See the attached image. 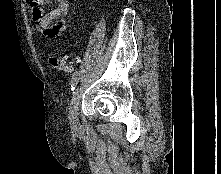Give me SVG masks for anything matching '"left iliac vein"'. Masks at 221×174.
Instances as JSON below:
<instances>
[{
    "instance_id": "obj_1",
    "label": "left iliac vein",
    "mask_w": 221,
    "mask_h": 174,
    "mask_svg": "<svg viewBox=\"0 0 221 174\" xmlns=\"http://www.w3.org/2000/svg\"><path fill=\"white\" fill-rule=\"evenodd\" d=\"M81 99L79 86L75 89L72 100L69 106L68 119L72 130L77 131L80 129V122L78 118V107Z\"/></svg>"
}]
</instances>
